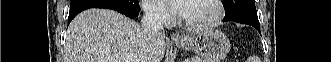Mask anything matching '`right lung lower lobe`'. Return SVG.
Here are the masks:
<instances>
[{
    "label": "right lung lower lobe",
    "instance_id": "1",
    "mask_svg": "<svg viewBox=\"0 0 331 62\" xmlns=\"http://www.w3.org/2000/svg\"><path fill=\"white\" fill-rule=\"evenodd\" d=\"M89 8H104V9H112L118 11L129 18H136L139 14L140 7L138 9H131L119 4H115L108 1H99V0H89L85 2H81L79 4L70 6V12L68 17V24L71 20L81 11H84Z\"/></svg>",
    "mask_w": 331,
    "mask_h": 62
}]
</instances>
